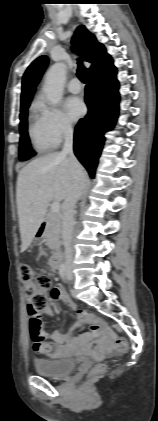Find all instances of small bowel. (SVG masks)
I'll return each mask as SVG.
<instances>
[{
	"label": "small bowel",
	"mask_w": 158,
	"mask_h": 421,
	"mask_svg": "<svg viewBox=\"0 0 158 421\" xmlns=\"http://www.w3.org/2000/svg\"><path fill=\"white\" fill-rule=\"evenodd\" d=\"M58 302H63L71 310L77 313V322L75 326L66 332L54 331L47 332L46 323L40 320L38 325H32L30 322L29 329L32 339L33 350L36 353L47 355L53 359L65 357L69 354V349L63 344L69 343L73 346H79L82 344L84 337H78L75 335L78 327L88 324L89 320L93 317L86 311L77 310L75 303L71 300L65 289L57 284L55 285L50 293V302L41 310L43 313L52 315L53 309ZM113 344V335L104 332L102 339L95 348L97 354H105L109 351Z\"/></svg>",
	"instance_id": "obj_1"
}]
</instances>
